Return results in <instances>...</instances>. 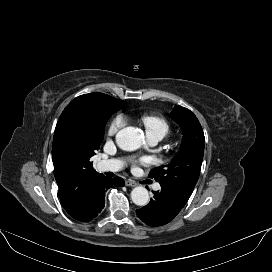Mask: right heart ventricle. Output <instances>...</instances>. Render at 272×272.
<instances>
[{
	"instance_id": "obj_1",
	"label": "right heart ventricle",
	"mask_w": 272,
	"mask_h": 272,
	"mask_svg": "<svg viewBox=\"0 0 272 272\" xmlns=\"http://www.w3.org/2000/svg\"><path fill=\"white\" fill-rule=\"evenodd\" d=\"M143 121L147 129V134H161L164 136L169 132L170 126L168 122L161 117L145 116Z\"/></svg>"
}]
</instances>
